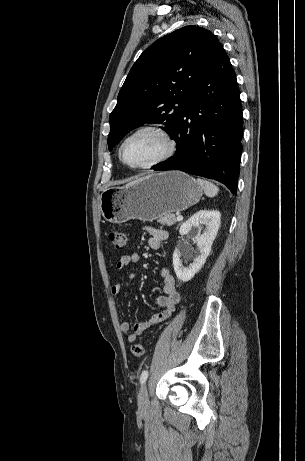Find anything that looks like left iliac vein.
<instances>
[{
	"instance_id": "4c4485c4",
	"label": "left iliac vein",
	"mask_w": 305,
	"mask_h": 461,
	"mask_svg": "<svg viewBox=\"0 0 305 461\" xmlns=\"http://www.w3.org/2000/svg\"><path fill=\"white\" fill-rule=\"evenodd\" d=\"M138 407L144 411L149 407V396L146 384H143L138 393Z\"/></svg>"
}]
</instances>
